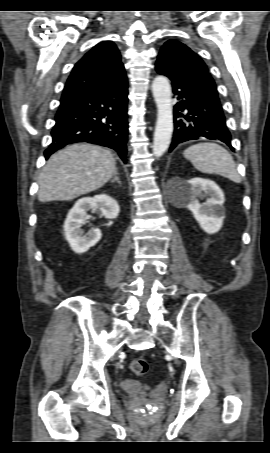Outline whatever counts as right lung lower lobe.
<instances>
[{"label": "right lung lower lobe", "instance_id": "1", "mask_svg": "<svg viewBox=\"0 0 270 453\" xmlns=\"http://www.w3.org/2000/svg\"><path fill=\"white\" fill-rule=\"evenodd\" d=\"M127 94L125 76L103 91L61 99L45 158L68 144L88 142L116 150L126 163Z\"/></svg>", "mask_w": 270, "mask_h": 453}]
</instances>
